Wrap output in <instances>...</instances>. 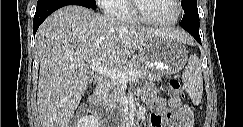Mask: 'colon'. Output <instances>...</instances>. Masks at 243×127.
I'll return each mask as SVG.
<instances>
[{
    "instance_id": "1",
    "label": "colon",
    "mask_w": 243,
    "mask_h": 127,
    "mask_svg": "<svg viewBox=\"0 0 243 127\" xmlns=\"http://www.w3.org/2000/svg\"><path fill=\"white\" fill-rule=\"evenodd\" d=\"M169 93L172 97H176L181 100L184 98V93L178 78L174 77L169 80Z\"/></svg>"
}]
</instances>
